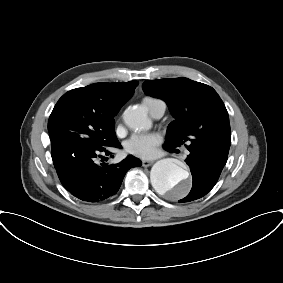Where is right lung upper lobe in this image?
Returning <instances> with one entry per match:
<instances>
[{
  "label": "right lung upper lobe",
  "mask_w": 283,
  "mask_h": 283,
  "mask_svg": "<svg viewBox=\"0 0 283 283\" xmlns=\"http://www.w3.org/2000/svg\"><path fill=\"white\" fill-rule=\"evenodd\" d=\"M137 81L124 83H94L70 90L103 120H114L120 108L132 97Z\"/></svg>",
  "instance_id": "cb5924a9"
}]
</instances>
